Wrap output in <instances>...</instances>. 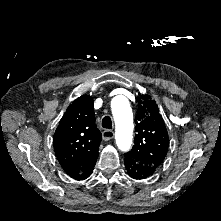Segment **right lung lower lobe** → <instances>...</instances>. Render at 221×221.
Returning a JSON list of instances; mask_svg holds the SVG:
<instances>
[{"mask_svg": "<svg viewBox=\"0 0 221 221\" xmlns=\"http://www.w3.org/2000/svg\"><path fill=\"white\" fill-rule=\"evenodd\" d=\"M94 165H95V164H94ZM94 165L91 166V167L86 171V173H85L80 179H78V180H83V179L88 178V177L91 175L92 171H93Z\"/></svg>", "mask_w": 221, "mask_h": 221, "instance_id": "98d812e1", "label": "right lung lower lobe"}]
</instances>
